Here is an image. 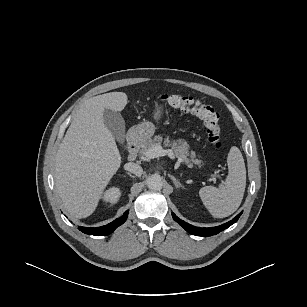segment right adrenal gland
<instances>
[{
	"mask_svg": "<svg viewBox=\"0 0 307 307\" xmlns=\"http://www.w3.org/2000/svg\"><path fill=\"white\" fill-rule=\"evenodd\" d=\"M127 175H129L130 177L134 178L135 176H133L131 173H127Z\"/></svg>",
	"mask_w": 307,
	"mask_h": 307,
	"instance_id": "2a0ac1e0",
	"label": "right adrenal gland"
}]
</instances>
